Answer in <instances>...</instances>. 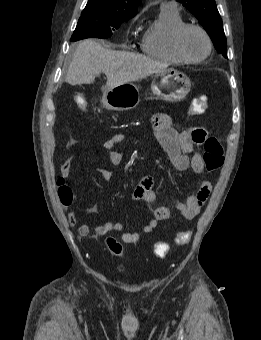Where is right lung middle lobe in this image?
<instances>
[{
	"instance_id": "right-lung-middle-lobe-1",
	"label": "right lung middle lobe",
	"mask_w": 261,
	"mask_h": 340,
	"mask_svg": "<svg viewBox=\"0 0 261 340\" xmlns=\"http://www.w3.org/2000/svg\"><path fill=\"white\" fill-rule=\"evenodd\" d=\"M132 17L121 16L98 8L85 7L78 20L71 41H77L88 37L106 39L112 35L114 28Z\"/></svg>"
}]
</instances>
